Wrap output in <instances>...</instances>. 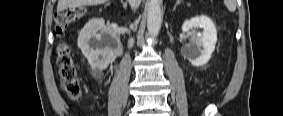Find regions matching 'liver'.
<instances>
[{
	"label": "liver",
	"instance_id": "liver-1",
	"mask_svg": "<svg viewBox=\"0 0 283 116\" xmlns=\"http://www.w3.org/2000/svg\"><path fill=\"white\" fill-rule=\"evenodd\" d=\"M106 0H58L57 11L62 12L70 7L80 5H92L105 2Z\"/></svg>",
	"mask_w": 283,
	"mask_h": 116
}]
</instances>
